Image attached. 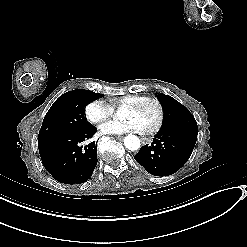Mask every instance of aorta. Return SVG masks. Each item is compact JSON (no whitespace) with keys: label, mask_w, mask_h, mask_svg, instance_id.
Instances as JSON below:
<instances>
[{"label":"aorta","mask_w":247,"mask_h":247,"mask_svg":"<svg viewBox=\"0 0 247 247\" xmlns=\"http://www.w3.org/2000/svg\"><path fill=\"white\" fill-rule=\"evenodd\" d=\"M123 113H124V108L123 107L119 108L116 113L117 117L119 119H122ZM124 145L127 149L131 151H136L140 148V140L137 136L129 134L124 139Z\"/></svg>","instance_id":"aorta-1"}]
</instances>
